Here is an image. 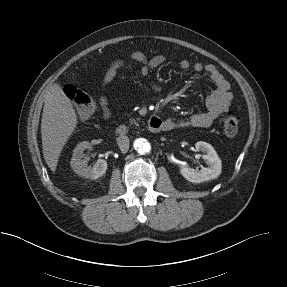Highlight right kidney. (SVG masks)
I'll return each instance as SVG.
<instances>
[{
  "instance_id": "1",
  "label": "right kidney",
  "mask_w": 287,
  "mask_h": 287,
  "mask_svg": "<svg viewBox=\"0 0 287 287\" xmlns=\"http://www.w3.org/2000/svg\"><path fill=\"white\" fill-rule=\"evenodd\" d=\"M91 148V144L87 141L78 144L73 150L70 164L74 172L79 176L89 179H98L106 173L107 162L103 159H98L92 167L88 166V158L84 157V151L86 149L90 150Z\"/></svg>"
}]
</instances>
